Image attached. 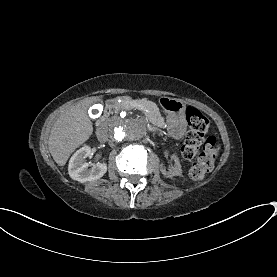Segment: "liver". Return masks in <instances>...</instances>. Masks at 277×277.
Here are the masks:
<instances>
[{
  "mask_svg": "<svg viewBox=\"0 0 277 277\" xmlns=\"http://www.w3.org/2000/svg\"><path fill=\"white\" fill-rule=\"evenodd\" d=\"M100 97H89L65 111L51 129L48 148L54 161L64 166L74 150L93 133V124L87 110Z\"/></svg>",
  "mask_w": 277,
  "mask_h": 277,
  "instance_id": "6515ba94",
  "label": "liver"
}]
</instances>
